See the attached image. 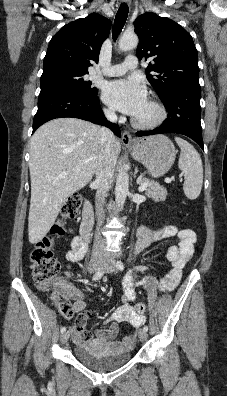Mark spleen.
Here are the masks:
<instances>
[{"mask_svg":"<svg viewBox=\"0 0 227 396\" xmlns=\"http://www.w3.org/2000/svg\"><path fill=\"white\" fill-rule=\"evenodd\" d=\"M175 141L181 149L178 166L185 178L183 190L185 195L193 200L199 196L202 189V160L197 150L189 142L179 137H176Z\"/></svg>","mask_w":227,"mask_h":396,"instance_id":"obj_1","label":"spleen"}]
</instances>
